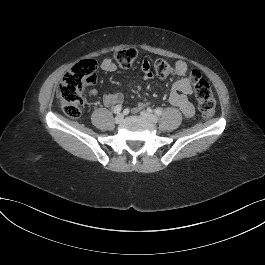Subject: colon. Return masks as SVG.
Masks as SVG:
<instances>
[{
	"label": "colon",
	"instance_id": "5ec220e1",
	"mask_svg": "<svg viewBox=\"0 0 265 265\" xmlns=\"http://www.w3.org/2000/svg\"><path fill=\"white\" fill-rule=\"evenodd\" d=\"M137 57L134 48H125L115 52L112 61L121 68L130 67ZM155 73L160 78H170L175 73V68L164 59H156L153 63ZM96 61L85 59L76 63L63 76L58 89L57 99L64 113L71 118H79L82 112V91L85 86L97 81ZM189 80L194 87L198 108L205 119L213 116L216 100L209 83L202 77L201 73L194 69L190 73Z\"/></svg>",
	"mask_w": 265,
	"mask_h": 265
}]
</instances>
